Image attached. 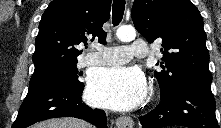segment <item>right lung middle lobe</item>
Wrapping results in <instances>:
<instances>
[{
  "label": "right lung middle lobe",
  "mask_w": 221,
  "mask_h": 128,
  "mask_svg": "<svg viewBox=\"0 0 221 128\" xmlns=\"http://www.w3.org/2000/svg\"><path fill=\"white\" fill-rule=\"evenodd\" d=\"M49 83H65L77 88L84 87V84L78 79V70L76 65H71L45 74L32 75L29 90Z\"/></svg>",
  "instance_id": "1"
}]
</instances>
